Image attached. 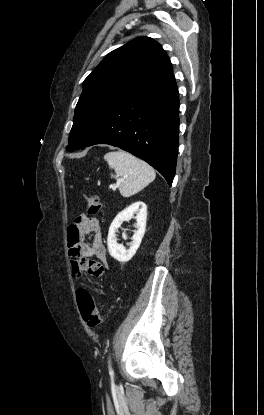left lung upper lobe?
Segmentation results:
<instances>
[{"label":"left lung upper lobe","mask_w":264,"mask_h":415,"mask_svg":"<svg viewBox=\"0 0 264 415\" xmlns=\"http://www.w3.org/2000/svg\"><path fill=\"white\" fill-rule=\"evenodd\" d=\"M172 72L165 50L149 37L134 39L110 52L83 82L66 149H79L119 102Z\"/></svg>","instance_id":"obj_1"}]
</instances>
